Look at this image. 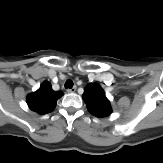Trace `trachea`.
<instances>
[{"label":"trachea","mask_w":163,"mask_h":163,"mask_svg":"<svg viewBox=\"0 0 163 163\" xmlns=\"http://www.w3.org/2000/svg\"><path fill=\"white\" fill-rule=\"evenodd\" d=\"M73 87V81L72 80H67L65 82V88L71 89Z\"/></svg>","instance_id":"obj_1"}]
</instances>
